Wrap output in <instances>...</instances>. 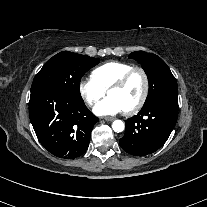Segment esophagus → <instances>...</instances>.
Listing matches in <instances>:
<instances>
[{"instance_id":"1","label":"esophagus","mask_w":207,"mask_h":207,"mask_svg":"<svg viewBox=\"0 0 207 207\" xmlns=\"http://www.w3.org/2000/svg\"><path fill=\"white\" fill-rule=\"evenodd\" d=\"M102 119H104L106 121H114L115 120L114 117H109V116L102 117Z\"/></svg>"}]
</instances>
